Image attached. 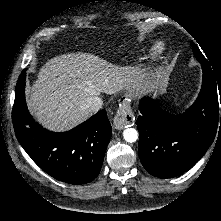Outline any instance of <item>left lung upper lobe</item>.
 Segmentation results:
<instances>
[{
  "mask_svg": "<svg viewBox=\"0 0 221 221\" xmlns=\"http://www.w3.org/2000/svg\"><path fill=\"white\" fill-rule=\"evenodd\" d=\"M193 47V51H194V55L195 57L198 59V61H200L201 63H205L207 62V60L205 59V57L203 56V54L200 52V50L198 49V47L192 43L191 44ZM208 63V62H207Z\"/></svg>",
  "mask_w": 221,
  "mask_h": 221,
  "instance_id": "obj_1",
  "label": "left lung upper lobe"
}]
</instances>
